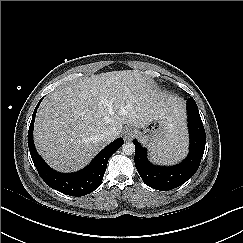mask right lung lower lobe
Instances as JSON below:
<instances>
[{"instance_id":"1","label":"right lung lower lobe","mask_w":243,"mask_h":243,"mask_svg":"<svg viewBox=\"0 0 243 243\" xmlns=\"http://www.w3.org/2000/svg\"><path fill=\"white\" fill-rule=\"evenodd\" d=\"M42 100V99H41ZM37 104L28 132V147L33 163L44 182L51 188L70 196L80 197L94 191L102 182L110 156L124 143L122 138L106 146L84 169L74 173H60L51 169L37 153L33 141V126Z\"/></svg>"}]
</instances>
